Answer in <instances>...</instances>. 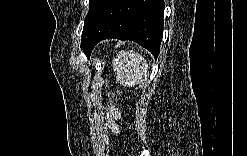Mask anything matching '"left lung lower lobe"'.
<instances>
[{
  "label": "left lung lower lobe",
  "instance_id": "obj_1",
  "mask_svg": "<svg viewBox=\"0 0 247 156\" xmlns=\"http://www.w3.org/2000/svg\"><path fill=\"white\" fill-rule=\"evenodd\" d=\"M163 0H104L85 33L84 53L90 56L101 40H131L157 58L163 37Z\"/></svg>",
  "mask_w": 247,
  "mask_h": 156
}]
</instances>
